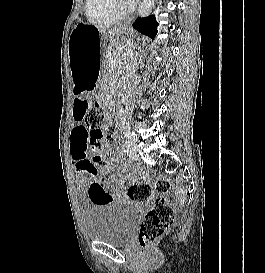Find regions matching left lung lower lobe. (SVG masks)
<instances>
[{
  "label": "left lung lower lobe",
  "mask_w": 265,
  "mask_h": 273,
  "mask_svg": "<svg viewBox=\"0 0 265 273\" xmlns=\"http://www.w3.org/2000/svg\"><path fill=\"white\" fill-rule=\"evenodd\" d=\"M132 26L140 33L152 39L157 34L158 23L153 15L145 18H137Z\"/></svg>",
  "instance_id": "obj_1"
}]
</instances>
